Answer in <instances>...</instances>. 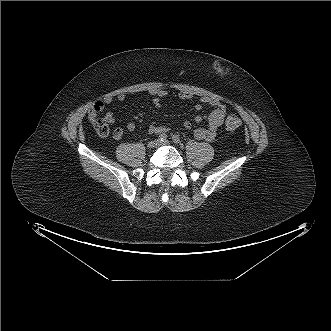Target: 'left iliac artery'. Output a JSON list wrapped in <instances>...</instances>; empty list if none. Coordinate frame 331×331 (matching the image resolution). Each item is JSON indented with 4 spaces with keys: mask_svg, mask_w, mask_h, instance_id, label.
I'll return each mask as SVG.
<instances>
[{
    "mask_svg": "<svg viewBox=\"0 0 331 331\" xmlns=\"http://www.w3.org/2000/svg\"><path fill=\"white\" fill-rule=\"evenodd\" d=\"M172 140H173V142H174L175 144H179V143H180V138H179V136H177V135H173V136H172Z\"/></svg>",
    "mask_w": 331,
    "mask_h": 331,
    "instance_id": "44dca946",
    "label": "left iliac artery"
}]
</instances>
